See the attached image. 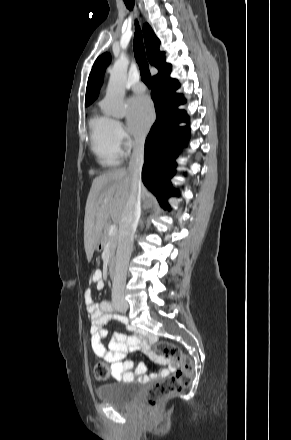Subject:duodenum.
Segmentation results:
<instances>
[{"label": "duodenum", "mask_w": 291, "mask_h": 440, "mask_svg": "<svg viewBox=\"0 0 291 440\" xmlns=\"http://www.w3.org/2000/svg\"><path fill=\"white\" fill-rule=\"evenodd\" d=\"M108 273H109V277L111 279H115V277H116V268H115L114 262H110L109 263Z\"/></svg>", "instance_id": "1"}]
</instances>
